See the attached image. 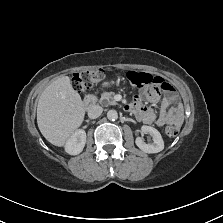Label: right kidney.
Returning <instances> with one entry per match:
<instances>
[{
  "mask_svg": "<svg viewBox=\"0 0 223 223\" xmlns=\"http://www.w3.org/2000/svg\"><path fill=\"white\" fill-rule=\"evenodd\" d=\"M86 143V132L83 129H78L66 141L65 151L69 155H77L82 152Z\"/></svg>",
  "mask_w": 223,
  "mask_h": 223,
  "instance_id": "ca27d5eb",
  "label": "right kidney"
}]
</instances>
